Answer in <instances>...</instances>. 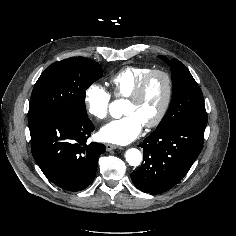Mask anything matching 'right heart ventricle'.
Listing matches in <instances>:
<instances>
[{
    "label": "right heart ventricle",
    "instance_id": "obj_1",
    "mask_svg": "<svg viewBox=\"0 0 236 236\" xmlns=\"http://www.w3.org/2000/svg\"><path fill=\"white\" fill-rule=\"evenodd\" d=\"M151 70L148 66H127L120 69L109 79L113 95L117 98H127Z\"/></svg>",
    "mask_w": 236,
    "mask_h": 236
}]
</instances>
